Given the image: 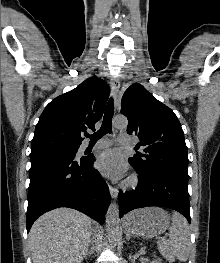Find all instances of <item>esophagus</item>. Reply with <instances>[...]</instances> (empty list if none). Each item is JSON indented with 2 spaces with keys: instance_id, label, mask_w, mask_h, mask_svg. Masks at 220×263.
I'll use <instances>...</instances> for the list:
<instances>
[{
  "instance_id": "1",
  "label": "esophagus",
  "mask_w": 220,
  "mask_h": 263,
  "mask_svg": "<svg viewBox=\"0 0 220 263\" xmlns=\"http://www.w3.org/2000/svg\"><path fill=\"white\" fill-rule=\"evenodd\" d=\"M110 84H111V89L113 92L114 100H115V102H117L118 92H119V88H120L119 78L118 77H112ZM109 191H110L111 197L113 199H116L118 196L117 188L113 187L112 185H109Z\"/></svg>"
}]
</instances>
